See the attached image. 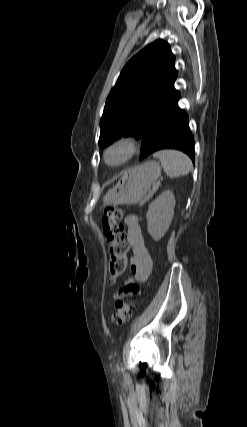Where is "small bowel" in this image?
<instances>
[{
    "mask_svg": "<svg viewBox=\"0 0 247 427\" xmlns=\"http://www.w3.org/2000/svg\"><path fill=\"white\" fill-rule=\"evenodd\" d=\"M124 222L127 228V240L132 249V257L130 259L131 278L117 292L116 298L127 294H138L139 288L135 283L145 281L152 268V259L145 246L138 218L134 215H128L125 217Z\"/></svg>",
    "mask_w": 247,
    "mask_h": 427,
    "instance_id": "obj_1",
    "label": "small bowel"
}]
</instances>
